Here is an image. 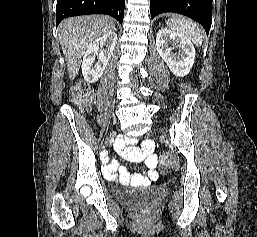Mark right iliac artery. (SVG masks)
<instances>
[{
	"label": "right iliac artery",
	"mask_w": 257,
	"mask_h": 237,
	"mask_svg": "<svg viewBox=\"0 0 257 237\" xmlns=\"http://www.w3.org/2000/svg\"><path fill=\"white\" fill-rule=\"evenodd\" d=\"M101 154H102V155H105V153H104V152H102Z\"/></svg>",
	"instance_id": "1"
}]
</instances>
